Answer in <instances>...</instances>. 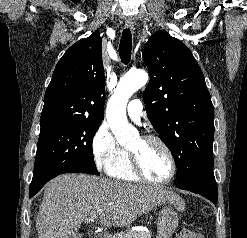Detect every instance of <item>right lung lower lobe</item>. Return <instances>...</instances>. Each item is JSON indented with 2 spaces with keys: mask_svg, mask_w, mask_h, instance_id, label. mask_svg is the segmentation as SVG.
I'll list each match as a JSON object with an SVG mask.
<instances>
[{
  "mask_svg": "<svg viewBox=\"0 0 247 238\" xmlns=\"http://www.w3.org/2000/svg\"><path fill=\"white\" fill-rule=\"evenodd\" d=\"M57 175H55V176H53V177H51V179L52 178H54V177H56ZM50 179H48V180H45V181H43L41 184H39L37 187H35V188H30L29 189V197L31 198L32 196H34L43 186H44V184L46 183V182H48Z\"/></svg>",
  "mask_w": 247,
  "mask_h": 238,
  "instance_id": "98d812e1",
  "label": "right lung lower lobe"
}]
</instances>
